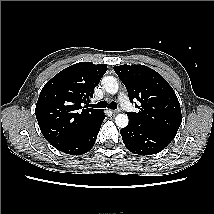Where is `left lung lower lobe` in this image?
<instances>
[{
    "label": "left lung lower lobe",
    "instance_id": "1",
    "mask_svg": "<svg viewBox=\"0 0 214 214\" xmlns=\"http://www.w3.org/2000/svg\"><path fill=\"white\" fill-rule=\"evenodd\" d=\"M126 148L134 154L152 155L162 151L176 136L134 122L120 130Z\"/></svg>",
    "mask_w": 214,
    "mask_h": 214
}]
</instances>
